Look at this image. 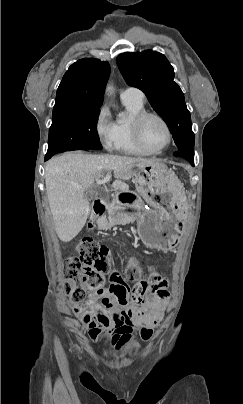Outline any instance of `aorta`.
I'll use <instances>...</instances> for the list:
<instances>
[{
    "instance_id": "obj_1",
    "label": "aorta",
    "mask_w": 243,
    "mask_h": 404,
    "mask_svg": "<svg viewBox=\"0 0 243 404\" xmlns=\"http://www.w3.org/2000/svg\"><path fill=\"white\" fill-rule=\"evenodd\" d=\"M108 92H112L113 88L112 86H109V88H107ZM121 116H123V114H121Z\"/></svg>"
}]
</instances>
